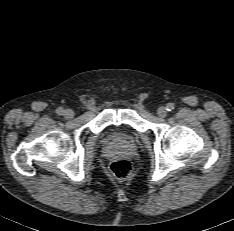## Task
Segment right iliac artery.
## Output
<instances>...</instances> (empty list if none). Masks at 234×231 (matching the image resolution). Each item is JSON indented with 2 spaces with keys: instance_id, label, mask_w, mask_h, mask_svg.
Here are the masks:
<instances>
[{
  "instance_id": "obj_1",
  "label": "right iliac artery",
  "mask_w": 234,
  "mask_h": 231,
  "mask_svg": "<svg viewBox=\"0 0 234 231\" xmlns=\"http://www.w3.org/2000/svg\"><path fill=\"white\" fill-rule=\"evenodd\" d=\"M57 113H58V114H62V113H63V109H62V108H59V109L57 110Z\"/></svg>"
}]
</instances>
